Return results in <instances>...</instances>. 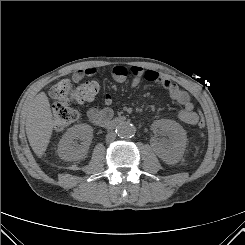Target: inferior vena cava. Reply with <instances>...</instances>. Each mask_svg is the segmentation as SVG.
Segmentation results:
<instances>
[{
    "instance_id": "602c4592",
    "label": "inferior vena cava",
    "mask_w": 245,
    "mask_h": 245,
    "mask_svg": "<svg viewBox=\"0 0 245 245\" xmlns=\"http://www.w3.org/2000/svg\"><path fill=\"white\" fill-rule=\"evenodd\" d=\"M116 139V134L114 132H109L107 135H106V141L107 142H112Z\"/></svg>"
}]
</instances>
